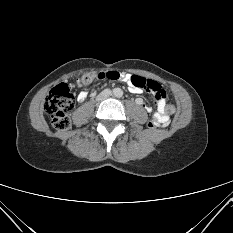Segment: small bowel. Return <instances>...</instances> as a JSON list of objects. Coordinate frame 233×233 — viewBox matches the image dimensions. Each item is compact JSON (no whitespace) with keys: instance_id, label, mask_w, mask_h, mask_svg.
I'll return each mask as SVG.
<instances>
[{"instance_id":"1","label":"small bowel","mask_w":233,"mask_h":233,"mask_svg":"<svg viewBox=\"0 0 233 233\" xmlns=\"http://www.w3.org/2000/svg\"><path fill=\"white\" fill-rule=\"evenodd\" d=\"M98 78L99 79H104L106 76L108 78H110L111 80H120V81H123V82H126L128 84V87H129V90L130 92L134 93V94H139L142 92L141 89L139 88H136L132 85L131 83V77L133 75L131 74H127V73H120L119 71L117 70H113V71H108L107 74H105L104 72H99L98 73ZM88 95V92L87 91H81L79 94H78V101L79 102H83L86 97ZM137 103L140 104V105H143L144 108L148 111V112H151L153 110L152 106L147 104V103H144L143 100L141 98H138L137 99ZM154 117H156L158 119V127H164L168 124L169 122V116L168 114L166 113V108H165V98H160L157 100V109L153 115Z\"/></svg>"}]
</instances>
